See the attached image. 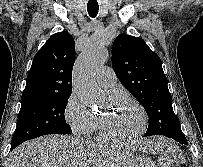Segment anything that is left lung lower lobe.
I'll return each instance as SVG.
<instances>
[{
    "mask_svg": "<svg viewBox=\"0 0 203 167\" xmlns=\"http://www.w3.org/2000/svg\"><path fill=\"white\" fill-rule=\"evenodd\" d=\"M167 137L172 138L179 143L187 144V140L182 134H170Z\"/></svg>",
    "mask_w": 203,
    "mask_h": 167,
    "instance_id": "left-lung-lower-lobe-1",
    "label": "left lung lower lobe"
}]
</instances>
